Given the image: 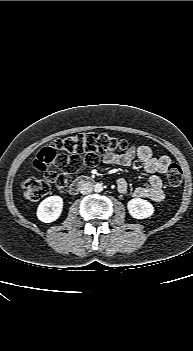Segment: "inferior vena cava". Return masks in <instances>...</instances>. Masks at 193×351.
<instances>
[{
    "mask_svg": "<svg viewBox=\"0 0 193 351\" xmlns=\"http://www.w3.org/2000/svg\"><path fill=\"white\" fill-rule=\"evenodd\" d=\"M92 184L91 183H83L81 186H80V192L81 194L83 195H87V194H90L92 192Z\"/></svg>",
    "mask_w": 193,
    "mask_h": 351,
    "instance_id": "602c4592",
    "label": "inferior vena cava"
}]
</instances>
